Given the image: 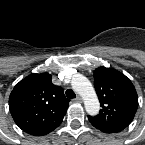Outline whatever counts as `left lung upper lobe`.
I'll return each instance as SVG.
<instances>
[{
  "mask_svg": "<svg viewBox=\"0 0 145 145\" xmlns=\"http://www.w3.org/2000/svg\"><path fill=\"white\" fill-rule=\"evenodd\" d=\"M94 86L102 109L97 116H88L90 123L104 133L123 131L138 108L134 85L121 72L99 67L94 71Z\"/></svg>",
  "mask_w": 145,
  "mask_h": 145,
  "instance_id": "5c2ea615",
  "label": "left lung upper lobe"
}]
</instances>
